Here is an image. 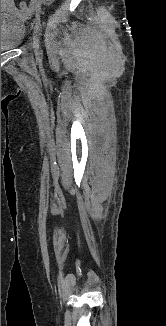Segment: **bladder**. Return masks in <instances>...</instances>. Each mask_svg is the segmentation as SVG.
Returning a JSON list of instances; mask_svg holds the SVG:
<instances>
[{"instance_id": "obj_1", "label": "bladder", "mask_w": 166, "mask_h": 326, "mask_svg": "<svg viewBox=\"0 0 166 326\" xmlns=\"http://www.w3.org/2000/svg\"><path fill=\"white\" fill-rule=\"evenodd\" d=\"M25 22L16 15L1 12V52L17 48L24 40Z\"/></svg>"}]
</instances>
